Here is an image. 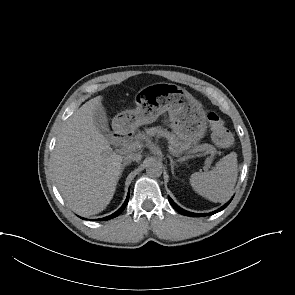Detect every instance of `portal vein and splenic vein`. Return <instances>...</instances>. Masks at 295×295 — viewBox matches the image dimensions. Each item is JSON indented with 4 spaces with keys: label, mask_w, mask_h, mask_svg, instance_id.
<instances>
[{
    "label": "portal vein and splenic vein",
    "mask_w": 295,
    "mask_h": 295,
    "mask_svg": "<svg viewBox=\"0 0 295 295\" xmlns=\"http://www.w3.org/2000/svg\"><path fill=\"white\" fill-rule=\"evenodd\" d=\"M141 147H142V144L139 141H136L130 145V149H136V148H141ZM169 151L171 152L172 155H174V156L176 155V152L172 148H169ZM211 163H212V159L209 157L206 158L204 168L206 169V168L210 167Z\"/></svg>",
    "instance_id": "18ae733b"
}]
</instances>
